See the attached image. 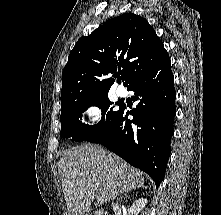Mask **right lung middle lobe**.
<instances>
[{
    "label": "right lung middle lobe",
    "instance_id": "1",
    "mask_svg": "<svg viewBox=\"0 0 221 215\" xmlns=\"http://www.w3.org/2000/svg\"><path fill=\"white\" fill-rule=\"evenodd\" d=\"M118 103L109 100L108 94H102L90 99L81 100L61 106V137H72L74 141L88 140L108 129L120 114L114 110ZM90 106H97L102 110V118L96 125L82 123V113Z\"/></svg>",
    "mask_w": 221,
    "mask_h": 215
}]
</instances>
